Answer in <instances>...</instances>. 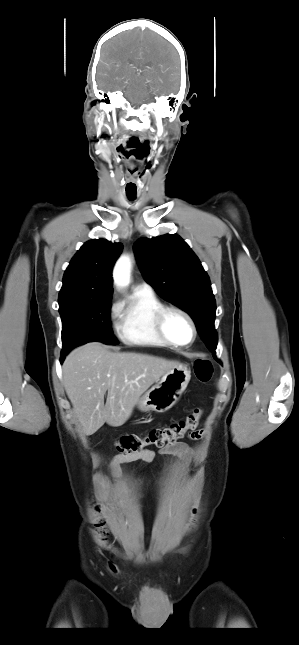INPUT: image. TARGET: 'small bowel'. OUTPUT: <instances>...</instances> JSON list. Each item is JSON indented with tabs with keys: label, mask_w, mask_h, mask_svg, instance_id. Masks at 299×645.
I'll return each mask as SVG.
<instances>
[{
	"label": "small bowel",
	"mask_w": 299,
	"mask_h": 645,
	"mask_svg": "<svg viewBox=\"0 0 299 645\" xmlns=\"http://www.w3.org/2000/svg\"><path fill=\"white\" fill-rule=\"evenodd\" d=\"M205 436L204 430H196L190 434V438L193 440H201ZM158 454L165 456H175L181 460L189 461L192 457V449L183 442L173 443L167 445L158 451ZM156 452L154 450L145 449L142 452L128 456L125 458H115L111 461L108 469V477L104 480V485L106 487L111 485H119L120 482L117 481L122 474L121 464L122 463H131L136 461H143L150 463L154 460ZM103 496V494H102ZM194 517L197 516V508L192 510Z\"/></svg>",
	"instance_id": "obj_1"
}]
</instances>
